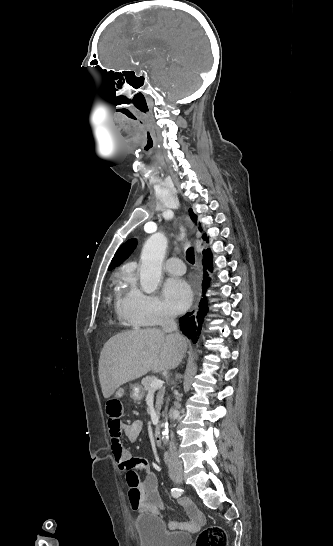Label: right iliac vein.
I'll list each match as a JSON object with an SVG mask.
<instances>
[{
  "mask_svg": "<svg viewBox=\"0 0 333 546\" xmlns=\"http://www.w3.org/2000/svg\"><path fill=\"white\" fill-rule=\"evenodd\" d=\"M170 477L174 482H176L178 484L183 483L184 478H183V474H182L181 471H172L170 473Z\"/></svg>",
  "mask_w": 333,
  "mask_h": 546,
  "instance_id": "1",
  "label": "right iliac vein"
}]
</instances>
